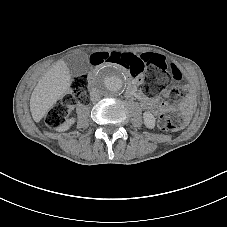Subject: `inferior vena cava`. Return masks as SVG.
Listing matches in <instances>:
<instances>
[{"label":"inferior vena cava","mask_w":227,"mask_h":227,"mask_svg":"<svg viewBox=\"0 0 227 227\" xmlns=\"http://www.w3.org/2000/svg\"><path fill=\"white\" fill-rule=\"evenodd\" d=\"M99 98H100V95H99L97 89H94V88L91 89V90H90V100H91L92 102H96V101L99 100Z\"/></svg>","instance_id":"obj_1"}]
</instances>
